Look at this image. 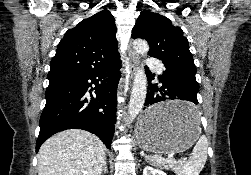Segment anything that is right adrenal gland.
<instances>
[{
  "label": "right adrenal gland",
  "mask_w": 251,
  "mask_h": 175,
  "mask_svg": "<svg viewBox=\"0 0 251 175\" xmlns=\"http://www.w3.org/2000/svg\"><path fill=\"white\" fill-rule=\"evenodd\" d=\"M107 171H108V169H107V163H106V161H105L101 173H107Z\"/></svg>",
  "instance_id": "right-adrenal-gland-1"
}]
</instances>
